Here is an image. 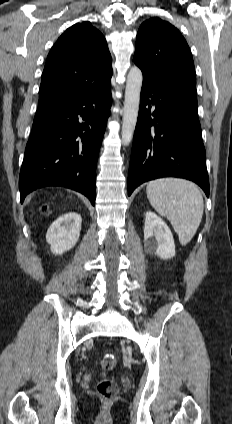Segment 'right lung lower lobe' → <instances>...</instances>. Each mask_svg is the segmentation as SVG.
I'll return each mask as SVG.
<instances>
[{"instance_id":"obj_1","label":"right lung lower lobe","mask_w":232,"mask_h":424,"mask_svg":"<svg viewBox=\"0 0 232 424\" xmlns=\"http://www.w3.org/2000/svg\"><path fill=\"white\" fill-rule=\"evenodd\" d=\"M111 103L109 85L38 104L19 176L21 203L33 190L55 185L81 192L95 204L96 164Z\"/></svg>"}]
</instances>
